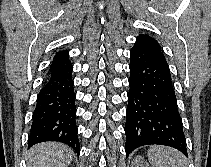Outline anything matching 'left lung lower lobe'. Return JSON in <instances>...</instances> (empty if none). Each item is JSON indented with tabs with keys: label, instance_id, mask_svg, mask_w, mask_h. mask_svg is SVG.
I'll list each match as a JSON object with an SVG mask.
<instances>
[{
	"label": "left lung lower lobe",
	"instance_id": "obj_1",
	"mask_svg": "<svg viewBox=\"0 0 211 167\" xmlns=\"http://www.w3.org/2000/svg\"><path fill=\"white\" fill-rule=\"evenodd\" d=\"M130 56L126 155L151 144L170 146L187 155L169 69L147 50L132 48Z\"/></svg>",
	"mask_w": 211,
	"mask_h": 167
}]
</instances>
